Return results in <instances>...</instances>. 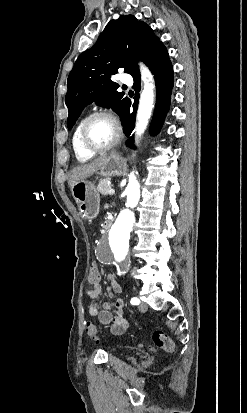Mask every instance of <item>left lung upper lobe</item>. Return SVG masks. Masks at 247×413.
<instances>
[{
  "label": "left lung upper lobe",
  "mask_w": 247,
  "mask_h": 413,
  "mask_svg": "<svg viewBox=\"0 0 247 413\" xmlns=\"http://www.w3.org/2000/svg\"><path fill=\"white\" fill-rule=\"evenodd\" d=\"M163 48L152 29L133 15L111 20L96 44L77 58L68 76L65 96L69 110L68 129L92 102L112 108L123 121L129 99L116 91L119 86L110 76L116 74L119 68L135 76L139 73L137 59L147 64L154 53Z\"/></svg>",
  "instance_id": "1"
}]
</instances>
